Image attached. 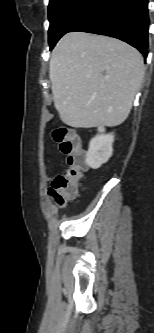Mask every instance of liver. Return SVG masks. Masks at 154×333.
Wrapping results in <instances>:
<instances>
[{
    "label": "liver",
    "instance_id": "1",
    "mask_svg": "<svg viewBox=\"0 0 154 333\" xmlns=\"http://www.w3.org/2000/svg\"><path fill=\"white\" fill-rule=\"evenodd\" d=\"M144 76L140 52L107 36L65 34L49 66L60 119L75 128L114 127L128 117Z\"/></svg>",
    "mask_w": 154,
    "mask_h": 333
}]
</instances>
